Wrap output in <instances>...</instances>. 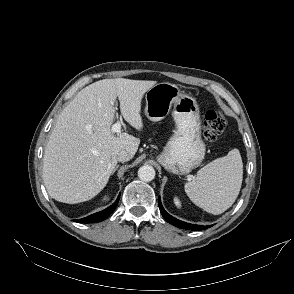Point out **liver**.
Listing matches in <instances>:
<instances>
[{"mask_svg": "<svg viewBox=\"0 0 294 294\" xmlns=\"http://www.w3.org/2000/svg\"><path fill=\"white\" fill-rule=\"evenodd\" d=\"M156 81L103 79L83 88L58 116L43 157V180L48 194L68 204L88 201L106 186L120 151L132 157L140 139L115 135L114 102L123 118L143 129L141 101Z\"/></svg>", "mask_w": 294, "mask_h": 294, "instance_id": "obj_1", "label": "liver"}]
</instances>
